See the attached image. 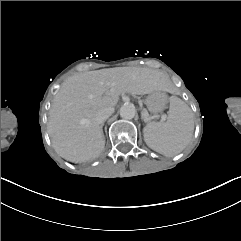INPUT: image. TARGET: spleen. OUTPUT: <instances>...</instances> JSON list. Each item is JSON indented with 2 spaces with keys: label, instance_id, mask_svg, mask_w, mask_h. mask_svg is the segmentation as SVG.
Listing matches in <instances>:
<instances>
[{
  "label": "spleen",
  "instance_id": "obj_1",
  "mask_svg": "<svg viewBox=\"0 0 241 241\" xmlns=\"http://www.w3.org/2000/svg\"><path fill=\"white\" fill-rule=\"evenodd\" d=\"M193 131L192 111L182 100L171 97L167 122L147 123L143 128V139L155 152L164 156H174L188 145Z\"/></svg>",
  "mask_w": 241,
  "mask_h": 241
}]
</instances>
